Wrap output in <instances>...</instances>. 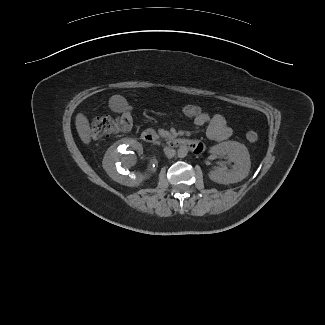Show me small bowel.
<instances>
[{
	"instance_id": "1",
	"label": "small bowel",
	"mask_w": 325,
	"mask_h": 325,
	"mask_svg": "<svg viewBox=\"0 0 325 325\" xmlns=\"http://www.w3.org/2000/svg\"><path fill=\"white\" fill-rule=\"evenodd\" d=\"M197 106V105H196ZM193 124L196 128L207 125L206 135L209 139L216 141H223L228 139L233 130L228 126L225 117L220 113L210 115L205 112V115L201 119L193 118ZM203 149L202 144H194V152H200Z\"/></svg>"
}]
</instances>
